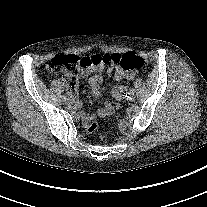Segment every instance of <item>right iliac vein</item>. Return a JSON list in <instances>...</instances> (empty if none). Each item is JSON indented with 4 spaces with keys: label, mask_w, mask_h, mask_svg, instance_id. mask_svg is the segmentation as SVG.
Segmentation results:
<instances>
[{
    "label": "right iliac vein",
    "mask_w": 207,
    "mask_h": 207,
    "mask_svg": "<svg viewBox=\"0 0 207 207\" xmlns=\"http://www.w3.org/2000/svg\"><path fill=\"white\" fill-rule=\"evenodd\" d=\"M65 103L66 104H70L71 103V99H66Z\"/></svg>",
    "instance_id": "obj_1"
}]
</instances>
